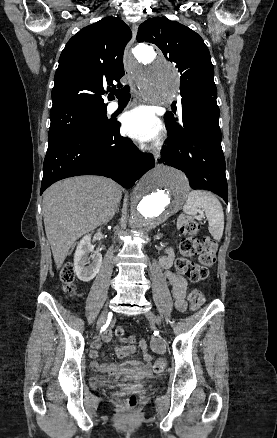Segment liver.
<instances>
[{
  "label": "liver",
  "mask_w": 277,
  "mask_h": 438,
  "mask_svg": "<svg viewBox=\"0 0 277 438\" xmlns=\"http://www.w3.org/2000/svg\"><path fill=\"white\" fill-rule=\"evenodd\" d=\"M121 186L102 176H76L43 194V220L57 270L74 242L107 224L120 204Z\"/></svg>",
  "instance_id": "6515ba94"
}]
</instances>
